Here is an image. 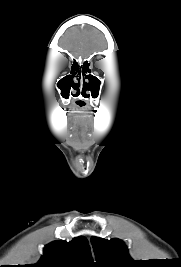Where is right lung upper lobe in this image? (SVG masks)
Returning a JSON list of instances; mask_svg holds the SVG:
<instances>
[{
  "instance_id": "1",
  "label": "right lung upper lobe",
  "mask_w": 181,
  "mask_h": 267,
  "mask_svg": "<svg viewBox=\"0 0 181 267\" xmlns=\"http://www.w3.org/2000/svg\"><path fill=\"white\" fill-rule=\"evenodd\" d=\"M88 240L81 236L70 242L53 241L44 248V255L34 267H91Z\"/></svg>"
}]
</instances>
